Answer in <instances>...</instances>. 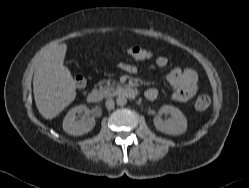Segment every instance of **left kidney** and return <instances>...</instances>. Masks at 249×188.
Here are the masks:
<instances>
[{
	"instance_id": "5707ae66",
	"label": "left kidney",
	"mask_w": 249,
	"mask_h": 188,
	"mask_svg": "<svg viewBox=\"0 0 249 188\" xmlns=\"http://www.w3.org/2000/svg\"><path fill=\"white\" fill-rule=\"evenodd\" d=\"M169 113L172 118L163 121L160 116L154 118V125L157 130L168 135H180L187 130V120L184 114L176 107L164 105L160 108L159 114Z\"/></svg>"
}]
</instances>
